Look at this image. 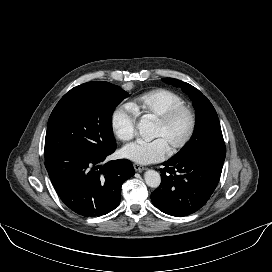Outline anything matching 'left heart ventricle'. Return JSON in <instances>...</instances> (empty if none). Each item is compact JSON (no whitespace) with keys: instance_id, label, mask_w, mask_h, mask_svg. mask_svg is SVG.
<instances>
[{"instance_id":"obj_1","label":"left heart ventricle","mask_w":272,"mask_h":272,"mask_svg":"<svg viewBox=\"0 0 272 272\" xmlns=\"http://www.w3.org/2000/svg\"><path fill=\"white\" fill-rule=\"evenodd\" d=\"M188 129L189 119L187 115L181 114L167 126L155 123L153 136L161 138L169 149L184 138Z\"/></svg>"}]
</instances>
